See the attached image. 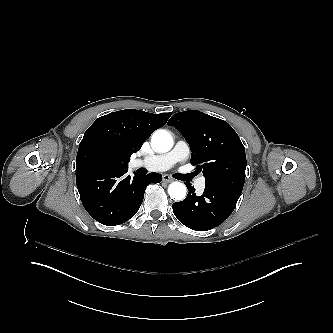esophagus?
Returning a JSON list of instances; mask_svg holds the SVG:
<instances>
[{"instance_id":"1","label":"esophagus","mask_w":333,"mask_h":333,"mask_svg":"<svg viewBox=\"0 0 333 333\" xmlns=\"http://www.w3.org/2000/svg\"><path fill=\"white\" fill-rule=\"evenodd\" d=\"M162 179H163L164 182H167V183H170V182H172L174 180L169 175H163Z\"/></svg>"}]
</instances>
